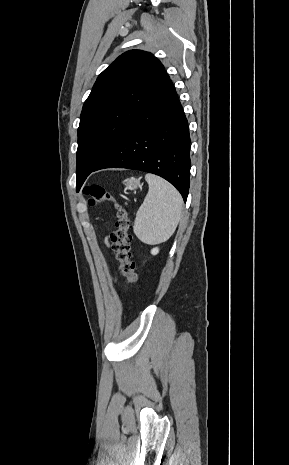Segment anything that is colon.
Returning a JSON list of instances; mask_svg holds the SVG:
<instances>
[{
    "label": "colon",
    "instance_id": "1",
    "mask_svg": "<svg viewBox=\"0 0 289 465\" xmlns=\"http://www.w3.org/2000/svg\"><path fill=\"white\" fill-rule=\"evenodd\" d=\"M84 194L89 197V204L95 205L102 202L113 203L116 209V229L111 233L110 239L116 258L120 264V272L125 276L127 281L138 287L139 276L135 261L132 259L130 230L132 222L128 210L118 204L113 196L100 185H89L84 188Z\"/></svg>",
    "mask_w": 289,
    "mask_h": 465
}]
</instances>
